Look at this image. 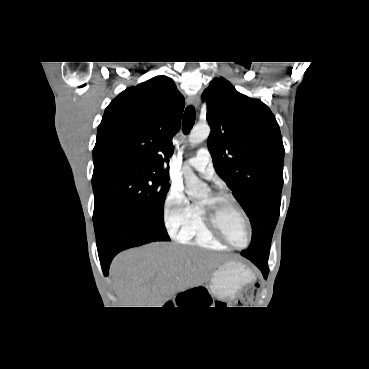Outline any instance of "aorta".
<instances>
[{"mask_svg": "<svg viewBox=\"0 0 369 369\" xmlns=\"http://www.w3.org/2000/svg\"><path fill=\"white\" fill-rule=\"evenodd\" d=\"M210 134V127L206 124H198L193 127L190 135L189 142L191 145H197L208 138ZM183 175L186 184V193L194 198H200L206 195L208 187L205 183L200 181L193 173L189 166L183 168Z\"/></svg>", "mask_w": 369, "mask_h": 369, "instance_id": "1", "label": "aorta"}]
</instances>
